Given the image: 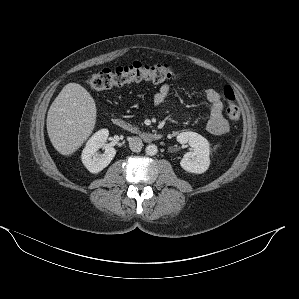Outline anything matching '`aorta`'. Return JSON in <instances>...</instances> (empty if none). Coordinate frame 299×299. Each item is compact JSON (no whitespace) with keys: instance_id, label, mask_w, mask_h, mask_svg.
<instances>
[{"instance_id":"762f6f07","label":"aorta","mask_w":299,"mask_h":299,"mask_svg":"<svg viewBox=\"0 0 299 299\" xmlns=\"http://www.w3.org/2000/svg\"><path fill=\"white\" fill-rule=\"evenodd\" d=\"M145 152H146V154L149 155V156H154V155L157 154V152H158V148H157L156 145H154V144H150V145H148V146L146 147Z\"/></svg>"}]
</instances>
